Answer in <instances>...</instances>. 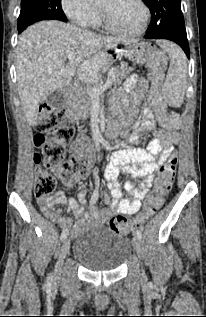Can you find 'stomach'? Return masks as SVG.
Returning a JSON list of instances; mask_svg holds the SVG:
<instances>
[{
	"label": "stomach",
	"mask_w": 206,
	"mask_h": 317,
	"mask_svg": "<svg viewBox=\"0 0 206 317\" xmlns=\"http://www.w3.org/2000/svg\"><path fill=\"white\" fill-rule=\"evenodd\" d=\"M123 53L128 58V66H143V63L152 55V47L143 42H130L126 44ZM112 60V55L106 54L92 55L91 59H82V67H76V74H85V76H79L78 82L86 83V85L99 82L98 74L106 72V66H112Z\"/></svg>",
	"instance_id": "stomach-1"
}]
</instances>
